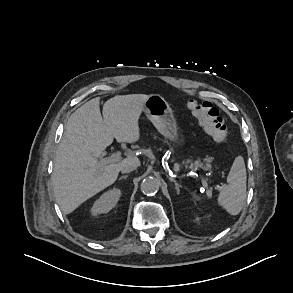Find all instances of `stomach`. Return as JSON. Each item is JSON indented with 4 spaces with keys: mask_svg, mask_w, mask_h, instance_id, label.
I'll return each mask as SVG.
<instances>
[{
    "mask_svg": "<svg viewBox=\"0 0 293 293\" xmlns=\"http://www.w3.org/2000/svg\"><path fill=\"white\" fill-rule=\"evenodd\" d=\"M144 112L157 130L175 146L181 143L180 134L167 101L158 94L149 95L144 103Z\"/></svg>",
    "mask_w": 293,
    "mask_h": 293,
    "instance_id": "obj_1",
    "label": "stomach"
}]
</instances>
